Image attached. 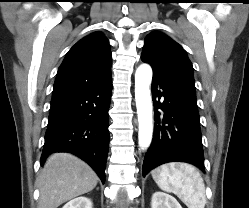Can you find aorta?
I'll list each match as a JSON object with an SVG mask.
<instances>
[{"instance_id":"1","label":"aorta","mask_w":249,"mask_h":208,"mask_svg":"<svg viewBox=\"0 0 249 208\" xmlns=\"http://www.w3.org/2000/svg\"><path fill=\"white\" fill-rule=\"evenodd\" d=\"M152 68L148 64L140 65L135 73V100L139 122V147L146 149L152 140V99L150 84Z\"/></svg>"}]
</instances>
